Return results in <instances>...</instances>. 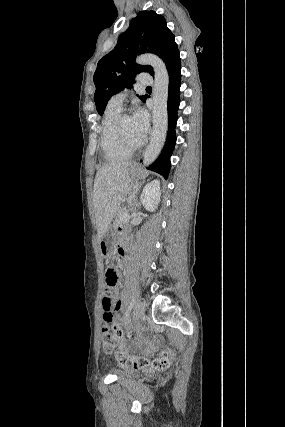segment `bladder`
<instances>
[{
    "label": "bladder",
    "instance_id": "obj_1",
    "mask_svg": "<svg viewBox=\"0 0 285 427\" xmlns=\"http://www.w3.org/2000/svg\"><path fill=\"white\" fill-rule=\"evenodd\" d=\"M114 372L117 374V376L119 378H126V377H132L135 379H140L143 380L147 377V375L143 372H132V373H127L121 369H115Z\"/></svg>",
    "mask_w": 285,
    "mask_h": 427
}]
</instances>
